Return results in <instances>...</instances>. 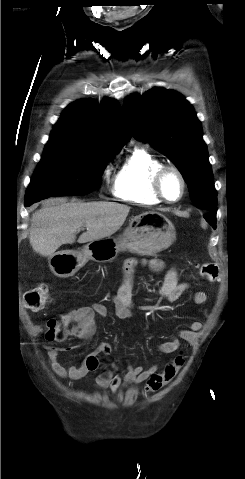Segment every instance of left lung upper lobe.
Listing matches in <instances>:
<instances>
[{
  "label": "left lung upper lobe",
  "instance_id": "obj_1",
  "mask_svg": "<svg viewBox=\"0 0 245 479\" xmlns=\"http://www.w3.org/2000/svg\"><path fill=\"white\" fill-rule=\"evenodd\" d=\"M123 111L136 139L151 143L176 165L192 202L206 212L215 210L217 192L207 146L190 103L175 91L154 88L142 97H130Z\"/></svg>",
  "mask_w": 245,
  "mask_h": 479
}]
</instances>
